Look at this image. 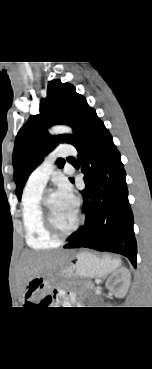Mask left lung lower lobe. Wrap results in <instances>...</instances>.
I'll use <instances>...</instances> for the list:
<instances>
[{
  "label": "left lung lower lobe",
  "instance_id": "0a47b994",
  "mask_svg": "<svg viewBox=\"0 0 152 369\" xmlns=\"http://www.w3.org/2000/svg\"><path fill=\"white\" fill-rule=\"evenodd\" d=\"M74 146L85 174L86 187L81 194L86 220L64 248L86 247L119 253L136 267L137 246L126 173L112 136L96 112L87 120Z\"/></svg>",
  "mask_w": 152,
  "mask_h": 369
}]
</instances>
